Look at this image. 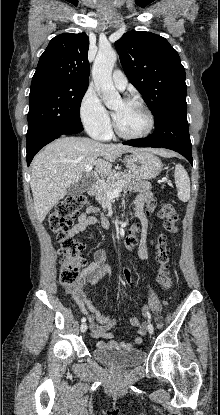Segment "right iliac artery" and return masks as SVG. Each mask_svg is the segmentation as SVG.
I'll list each match as a JSON object with an SVG mask.
<instances>
[{"mask_svg":"<svg viewBox=\"0 0 220 415\" xmlns=\"http://www.w3.org/2000/svg\"><path fill=\"white\" fill-rule=\"evenodd\" d=\"M81 322H86V318L85 317H83V318H81Z\"/></svg>","mask_w":220,"mask_h":415,"instance_id":"1","label":"right iliac artery"}]
</instances>
